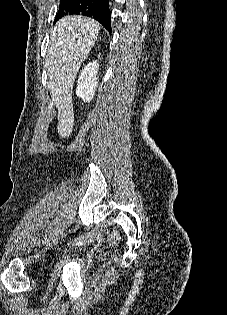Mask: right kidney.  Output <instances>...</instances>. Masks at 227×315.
<instances>
[{
	"label": "right kidney",
	"mask_w": 227,
	"mask_h": 315,
	"mask_svg": "<svg viewBox=\"0 0 227 315\" xmlns=\"http://www.w3.org/2000/svg\"><path fill=\"white\" fill-rule=\"evenodd\" d=\"M98 72L99 64L93 61L88 63L79 75L76 95L84 102H90L93 99L99 79Z\"/></svg>",
	"instance_id": "right-kidney-1"
}]
</instances>
